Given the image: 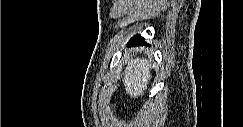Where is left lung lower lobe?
<instances>
[{"instance_id":"left-lung-lower-lobe-1","label":"left lung lower lobe","mask_w":243,"mask_h":127,"mask_svg":"<svg viewBox=\"0 0 243 127\" xmlns=\"http://www.w3.org/2000/svg\"><path fill=\"white\" fill-rule=\"evenodd\" d=\"M145 39L143 37H141L140 35H136L133 38L130 39V41L128 42V46H140V45H148L145 41Z\"/></svg>"}]
</instances>
